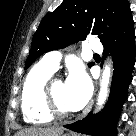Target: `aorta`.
I'll return each mask as SVG.
<instances>
[{
	"label": "aorta",
	"instance_id": "762f6f07",
	"mask_svg": "<svg viewBox=\"0 0 136 136\" xmlns=\"http://www.w3.org/2000/svg\"><path fill=\"white\" fill-rule=\"evenodd\" d=\"M110 78H111V67L110 65H105L102 72V78L100 82V91H99V95L97 99V105L99 106V108L102 107V105L105 103L107 99Z\"/></svg>",
	"mask_w": 136,
	"mask_h": 136
}]
</instances>
